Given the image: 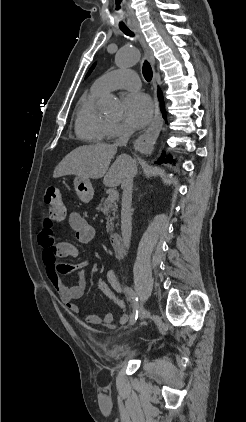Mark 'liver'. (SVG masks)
Segmentation results:
<instances>
[{
	"instance_id": "1",
	"label": "liver",
	"mask_w": 246,
	"mask_h": 422,
	"mask_svg": "<svg viewBox=\"0 0 246 422\" xmlns=\"http://www.w3.org/2000/svg\"><path fill=\"white\" fill-rule=\"evenodd\" d=\"M116 152L115 145L105 143L78 147L56 166L53 177L59 178L65 175L88 179L104 177L105 186L116 187L123 183L130 170L136 172L135 162L125 154L119 155L110 166Z\"/></svg>"
}]
</instances>
